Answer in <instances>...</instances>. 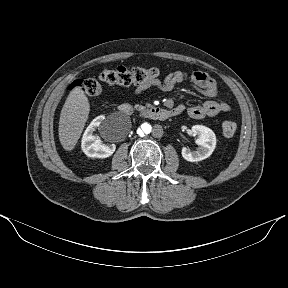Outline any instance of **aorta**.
Returning <instances> with one entry per match:
<instances>
[{
    "label": "aorta",
    "instance_id": "1",
    "mask_svg": "<svg viewBox=\"0 0 288 288\" xmlns=\"http://www.w3.org/2000/svg\"><path fill=\"white\" fill-rule=\"evenodd\" d=\"M151 126L149 123L147 122H142L139 124V126L136 129V134L138 137L140 138H145L149 135V133L151 132Z\"/></svg>",
    "mask_w": 288,
    "mask_h": 288
}]
</instances>
